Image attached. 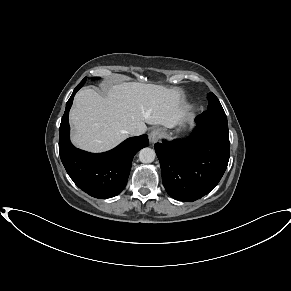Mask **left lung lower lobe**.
Returning <instances> with one entry per match:
<instances>
[{"label":"left lung lower lobe","mask_w":291,"mask_h":291,"mask_svg":"<svg viewBox=\"0 0 291 291\" xmlns=\"http://www.w3.org/2000/svg\"><path fill=\"white\" fill-rule=\"evenodd\" d=\"M185 140L154 145L162 182L174 199L192 202L209 193L220 181L229 161V133L224 111H205Z\"/></svg>","instance_id":"1"}]
</instances>
